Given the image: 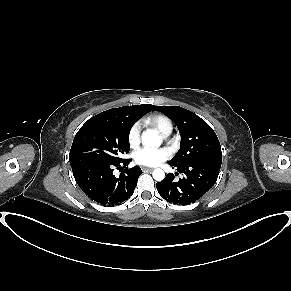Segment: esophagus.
<instances>
[{
  "label": "esophagus",
  "instance_id": "1",
  "mask_svg": "<svg viewBox=\"0 0 291 291\" xmlns=\"http://www.w3.org/2000/svg\"><path fill=\"white\" fill-rule=\"evenodd\" d=\"M142 170L143 171H153V168L143 166Z\"/></svg>",
  "mask_w": 291,
  "mask_h": 291
}]
</instances>
